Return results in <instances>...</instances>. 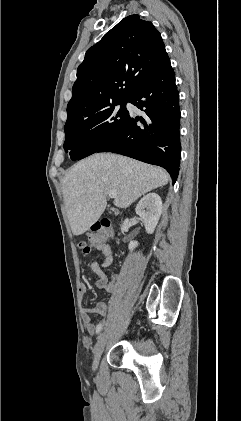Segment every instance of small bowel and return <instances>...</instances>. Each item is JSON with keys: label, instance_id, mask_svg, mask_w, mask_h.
Returning <instances> with one entry per match:
<instances>
[{"label": "small bowel", "instance_id": "obj_1", "mask_svg": "<svg viewBox=\"0 0 241 421\" xmlns=\"http://www.w3.org/2000/svg\"><path fill=\"white\" fill-rule=\"evenodd\" d=\"M96 249L103 254L104 260L101 266L97 262H92L90 265L91 270L95 273V285L99 289H103L106 292L112 294L115 292V289H116L115 283L114 281H108V277L105 272V269L108 268L113 262L112 249L106 243L97 245ZM78 290H79V295L83 297L87 292V285L84 282H80ZM108 312H109V306L106 302H98L96 306L93 308H83L82 319L85 324V329L89 335L93 336L97 328V326L91 321V314L96 313L101 316H106Z\"/></svg>", "mask_w": 241, "mask_h": 421}]
</instances>
